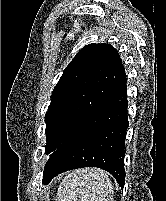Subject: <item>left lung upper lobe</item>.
Masks as SVG:
<instances>
[{"instance_id": "obj_1", "label": "left lung upper lobe", "mask_w": 166, "mask_h": 201, "mask_svg": "<svg viewBox=\"0 0 166 201\" xmlns=\"http://www.w3.org/2000/svg\"><path fill=\"white\" fill-rule=\"evenodd\" d=\"M117 50L109 44L83 47L65 68L45 115V153L52 154L125 80Z\"/></svg>"}]
</instances>
